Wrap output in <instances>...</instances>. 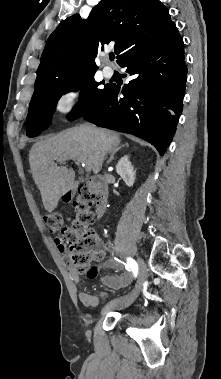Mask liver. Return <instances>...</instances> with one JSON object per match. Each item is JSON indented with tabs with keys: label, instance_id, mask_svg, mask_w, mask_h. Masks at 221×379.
I'll return each mask as SVG.
<instances>
[{
	"label": "liver",
	"instance_id": "1",
	"mask_svg": "<svg viewBox=\"0 0 221 379\" xmlns=\"http://www.w3.org/2000/svg\"><path fill=\"white\" fill-rule=\"evenodd\" d=\"M119 143L118 133L92 126L70 128L36 142L30 150L29 163L46 211L52 212L59 199L74 186V171L57 166L55 161L91 162L97 174L102 168L104 154Z\"/></svg>",
	"mask_w": 221,
	"mask_h": 379
}]
</instances>
